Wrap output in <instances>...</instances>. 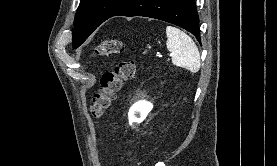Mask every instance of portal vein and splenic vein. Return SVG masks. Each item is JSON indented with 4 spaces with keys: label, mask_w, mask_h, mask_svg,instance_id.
Listing matches in <instances>:
<instances>
[{
    "label": "portal vein and splenic vein",
    "mask_w": 277,
    "mask_h": 166,
    "mask_svg": "<svg viewBox=\"0 0 277 166\" xmlns=\"http://www.w3.org/2000/svg\"><path fill=\"white\" fill-rule=\"evenodd\" d=\"M158 57H162L161 55H157Z\"/></svg>",
    "instance_id": "18ae733b"
}]
</instances>
